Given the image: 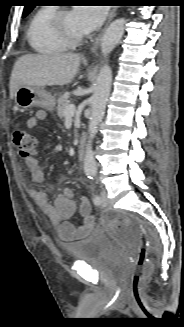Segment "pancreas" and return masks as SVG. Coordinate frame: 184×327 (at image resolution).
Returning <instances> with one entry per match:
<instances>
[{
    "label": "pancreas",
    "mask_w": 184,
    "mask_h": 327,
    "mask_svg": "<svg viewBox=\"0 0 184 327\" xmlns=\"http://www.w3.org/2000/svg\"><path fill=\"white\" fill-rule=\"evenodd\" d=\"M57 115L60 119H63L65 117V108L69 104H71V101L69 100V97L66 95H61L57 100Z\"/></svg>",
    "instance_id": "cf45deb5"
}]
</instances>
